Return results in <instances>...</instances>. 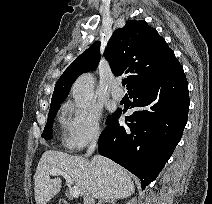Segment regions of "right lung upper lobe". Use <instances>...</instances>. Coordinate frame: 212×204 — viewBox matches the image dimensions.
Returning a JSON list of instances; mask_svg holds the SVG:
<instances>
[{
    "instance_id": "right-lung-upper-lobe-1",
    "label": "right lung upper lobe",
    "mask_w": 212,
    "mask_h": 204,
    "mask_svg": "<svg viewBox=\"0 0 212 204\" xmlns=\"http://www.w3.org/2000/svg\"><path fill=\"white\" fill-rule=\"evenodd\" d=\"M99 47V41L93 43L64 71L56 83L51 105H60L67 98L75 79L96 68L100 58ZM104 55L114 75L129 74V91L170 76L182 68L164 38L144 20H128L123 28L116 30Z\"/></svg>"
}]
</instances>
